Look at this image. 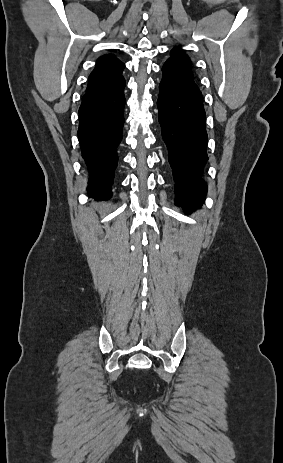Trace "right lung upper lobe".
<instances>
[{"mask_svg": "<svg viewBox=\"0 0 283 463\" xmlns=\"http://www.w3.org/2000/svg\"><path fill=\"white\" fill-rule=\"evenodd\" d=\"M124 67V63L113 55L100 57L96 62L95 69L89 76L87 90L96 88L118 78L121 76Z\"/></svg>", "mask_w": 283, "mask_h": 463, "instance_id": "1", "label": "right lung upper lobe"}]
</instances>
